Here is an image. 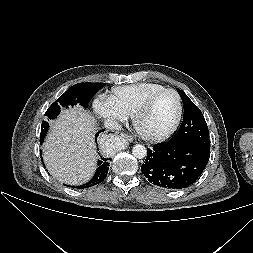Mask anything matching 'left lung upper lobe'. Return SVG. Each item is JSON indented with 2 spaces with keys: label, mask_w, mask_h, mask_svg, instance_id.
<instances>
[{
  "label": "left lung upper lobe",
  "mask_w": 253,
  "mask_h": 253,
  "mask_svg": "<svg viewBox=\"0 0 253 253\" xmlns=\"http://www.w3.org/2000/svg\"><path fill=\"white\" fill-rule=\"evenodd\" d=\"M184 104V118L177 133L169 140L172 142H187L210 150L209 131L202 112L177 88Z\"/></svg>",
  "instance_id": "obj_1"
}]
</instances>
